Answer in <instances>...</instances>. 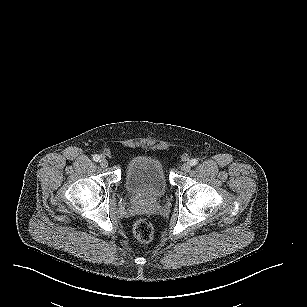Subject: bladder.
Returning a JSON list of instances; mask_svg holds the SVG:
<instances>
[{"instance_id": "31cf9c89", "label": "bladder", "mask_w": 307, "mask_h": 307, "mask_svg": "<svg viewBox=\"0 0 307 307\" xmlns=\"http://www.w3.org/2000/svg\"><path fill=\"white\" fill-rule=\"evenodd\" d=\"M125 186L150 198L165 195L168 185L160 159L149 155L134 157L125 168Z\"/></svg>"}]
</instances>
